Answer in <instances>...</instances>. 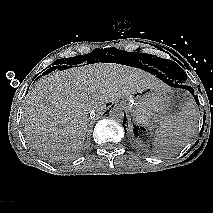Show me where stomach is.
I'll list each match as a JSON object with an SVG mask.
<instances>
[{"mask_svg":"<svg viewBox=\"0 0 213 213\" xmlns=\"http://www.w3.org/2000/svg\"><path fill=\"white\" fill-rule=\"evenodd\" d=\"M124 102L137 125L154 129L171 109L164 87H154L125 97Z\"/></svg>","mask_w":213,"mask_h":213,"instance_id":"stomach-1","label":"stomach"}]
</instances>
